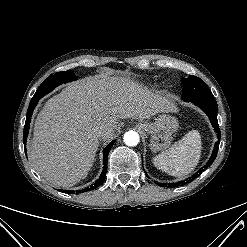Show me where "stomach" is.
<instances>
[{
  "label": "stomach",
  "mask_w": 247,
  "mask_h": 247,
  "mask_svg": "<svg viewBox=\"0 0 247 247\" xmlns=\"http://www.w3.org/2000/svg\"><path fill=\"white\" fill-rule=\"evenodd\" d=\"M137 127L150 134L149 147L151 151L157 152L167 149L171 145L173 133L179 128L176 118L161 114L155 118L153 123L139 122Z\"/></svg>",
  "instance_id": "stomach-1"
}]
</instances>
